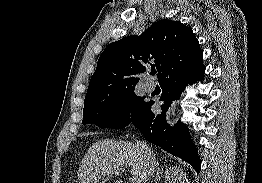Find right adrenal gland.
I'll list each match as a JSON object with an SVG mask.
<instances>
[{"label":"right adrenal gland","instance_id":"1","mask_svg":"<svg viewBox=\"0 0 262 183\" xmlns=\"http://www.w3.org/2000/svg\"><path fill=\"white\" fill-rule=\"evenodd\" d=\"M163 168H160L159 163L157 161V170H156V177H155V183H158V181L161 179V174L163 173Z\"/></svg>","mask_w":262,"mask_h":183}]
</instances>
